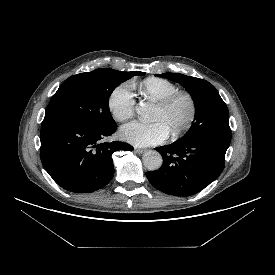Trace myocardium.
<instances>
[{"label": "myocardium", "instance_id": "myocardium-1", "mask_svg": "<svg viewBox=\"0 0 275 275\" xmlns=\"http://www.w3.org/2000/svg\"><path fill=\"white\" fill-rule=\"evenodd\" d=\"M180 98H185L188 101L190 110L188 118L184 124L177 130L170 133L173 138H178L192 126L197 114V104L195 98L188 91L178 90L157 103V107L161 110H168Z\"/></svg>", "mask_w": 275, "mask_h": 275}]
</instances>
